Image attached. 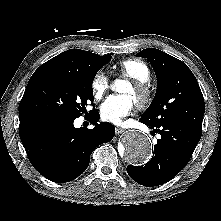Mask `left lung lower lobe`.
<instances>
[{
	"label": "left lung lower lobe",
	"instance_id": "1",
	"mask_svg": "<svg viewBox=\"0 0 221 221\" xmlns=\"http://www.w3.org/2000/svg\"><path fill=\"white\" fill-rule=\"evenodd\" d=\"M151 129L161 135L152 159L144 166H127L132 179L149 187L161 185L177 175L187 165L202 134L201 130L181 121L166 122Z\"/></svg>",
	"mask_w": 221,
	"mask_h": 221
}]
</instances>
